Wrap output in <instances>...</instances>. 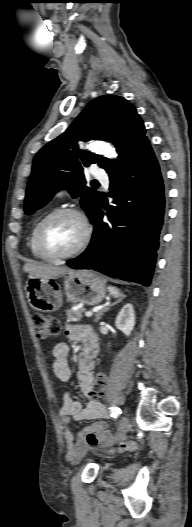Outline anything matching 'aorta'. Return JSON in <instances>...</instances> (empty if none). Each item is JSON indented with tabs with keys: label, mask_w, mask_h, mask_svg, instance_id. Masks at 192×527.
<instances>
[{
	"label": "aorta",
	"mask_w": 192,
	"mask_h": 527,
	"mask_svg": "<svg viewBox=\"0 0 192 527\" xmlns=\"http://www.w3.org/2000/svg\"><path fill=\"white\" fill-rule=\"evenodd\" d=\"M91 149L94 152L100 153L109 158H115V150L108 144L102 142H96L91 144Z\"/></svg>",
	"instance_id": "762f6f07"
}]
</instances>
